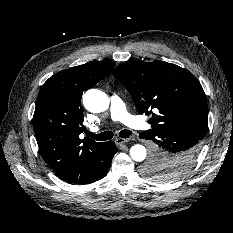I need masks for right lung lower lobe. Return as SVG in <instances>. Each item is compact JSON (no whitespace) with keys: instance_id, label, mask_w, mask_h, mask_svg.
I'll return each instance as SVG.
<instances>
[{"instance_id":"1","label":"right lung lower lobe","mask_w":233,"mask_h":233,"mask_svg":"<svg viewBox=\"0 0 233 233\" xmlns=\"http://www.w3.org/2000/svg\"><path fill=\"white\" fill-rule=\"evenodd\" d=\"M116 152L113 141L103 142L97 148L81 156L57 176L69 184L93 183L107 174Z\"/></svg>"}]
</instances>
